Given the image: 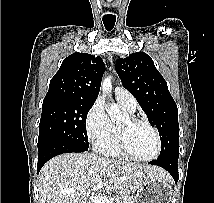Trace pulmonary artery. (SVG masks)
Wrapping results in <instances>:
<instances>
[{
	"instance_id": "pulmonary-artery-1",
	"label": "pulmonary artery",
	"mask_w": 214,
	"mask_h": 203,
	"mask_svg": "<svg viewBox=\"0 0 214 203\" xmlns=\"http://www.w3.org/2000/svg\"><path fill=\"white\" fill-rule=\"evenodd\" d=\"M115 95H116V98L118 101H120L122 104H124L130 110L135 111L137 102H136V99L134 98V96L128 90H126L122 86H117L115 88Z\"/></svg>"
}]
</instances>
